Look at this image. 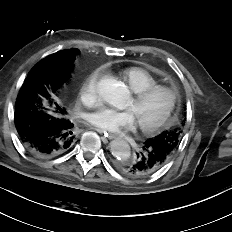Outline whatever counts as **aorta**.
Segmentation results:
<instances>
[{
    "instance_id": "aorta-1",
    "label": "aorta",
    "mask_w": 232,
    "mask_h": 232,
    "mask_svg": "<svg viewBox=\"0 0 232 232\" xmlns=\"http://www.w3.org/2000/svg\"><path fill=\"white\" fill-rule=\"evenodd\" d=\"M99 93L110 105L124 109L130 99L127 87L115 78H104L98 83ZM110 151L114 157L126 160L130 157L129 144L123 139H116L110 142Z\"/></svg>"
}]
</instances>
